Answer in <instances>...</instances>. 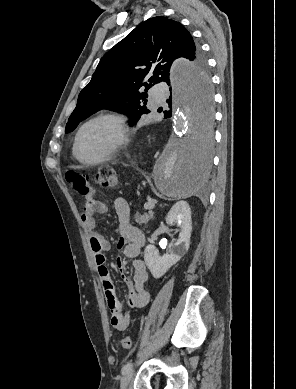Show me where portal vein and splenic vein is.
Returning a JSON list of instances; mask_svg holds the SVG:
<instances>
[{
  "label": "portal vein and splenic vein",
  "mask_w": 296,
  "mask_h": 389,
  "mask_svg": "<svg viewBox=\"0 0 296 389\" xmlns=\"http://www.w3.org/2000/svg\"><path fill=\"white\" fill-rule=\"evenodd\" d=\"M155 203H157L156 200H154V199H149L148 202L144 205V208H145L146 210H148V209H153L154 206H155Z\"/></svg>",
  "instance_id": "1"
}]
</instances>
